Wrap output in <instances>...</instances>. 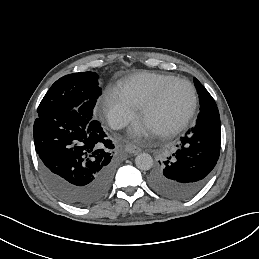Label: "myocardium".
<instances>
[{
  "mask_svg": "<svg viewBox=\"0 0 259 259\" xmlns=\"http://www.w3.org/2000/svg\"><path fill=\"white\" fill-rule=\"evenodd\" d=\"M177 81H182L189 86V88L191 90V94H192L191 103H190L188 109L185 111V113L183 115H181L169 128H167L164 131L156 133L158 136H161V137H168V136H172V135L178 133L189 122V120L194 115L197 105H198V95H197V90H196L195 85L184 77H179V76L171 77L168 80L164 81L162 84H160V86L157 88L154 95L151 96L149 99H147L141 107L140 116H142L143 114L148 112L150 109L157 106L160 103V101L162 100V97L164 96L166 90L173 83H175Z\"/></svg>",
  "mask_w": 259,
  "mask_h": 259,
  "instance_id": "myocardium-1",
  "label": "myocardium"
}]
</instances>
